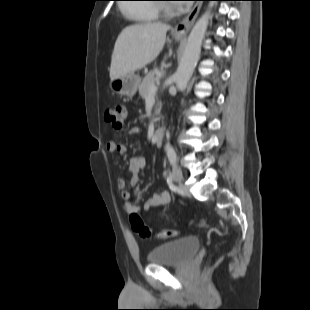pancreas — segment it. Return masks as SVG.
Here are the masks:
<instances>
[{
  "instance_id": "1",
  "label": "pancreas",
  "mask_w": 310,
  "mask_h": 310,
  "mask_svg": "<svg viewBox=\"0 0 310 310\" xmlns=\"http://www.w3.org/2000/svg\"><path fill=\"white\" fill-rule=\"evenodd\" d=\"M156 77L154 73H149L143 79L139 85V94L143 99H147L149 96V89L151 86L155 85Z\"/></svg>"
}]
</instances>
